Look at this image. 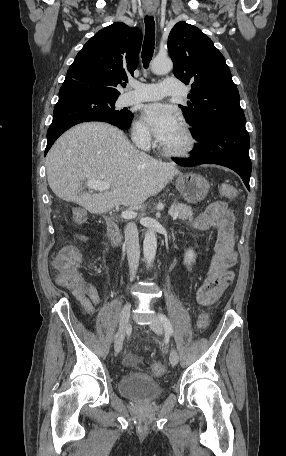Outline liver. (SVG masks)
<instances>
[{"label": "liver", "instance_id": "6515ba94", "mask_svg": "<svg viewBox=\"0 0 286 456\" xmlns=\"http://www.w3.org/2000/svg\"><path fill=\"white\" fill-rule=\"evenodd\" d=\"M46 172L57 197L93 214L119 205H141L181 174L175 165L137 150L118 128L100 122L65 132L47 154ZM85 180L105 181L111 188L89 194L83 191Z\"/></svg>", "mask_w": 286, "mask_h": 456}]
</instances>
